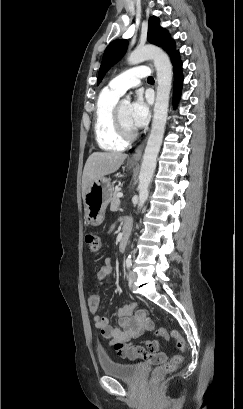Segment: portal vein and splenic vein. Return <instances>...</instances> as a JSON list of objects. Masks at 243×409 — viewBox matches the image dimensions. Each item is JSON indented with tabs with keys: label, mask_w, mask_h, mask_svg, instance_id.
<instances>
[{
	"label": "portal vein and splenic vein",
	"mask_w": 243,
	"mask_h": 409,
	"mask_svg": "<svg viewBox=\"0 0 243 409\" xmlns=\"http://www.w3.org/2000/svg\"><path fill=\"white\" fill-rule=\"evenodd\" d=\"M118 197L119 198L123 197V193H118Z\"/></svg>",
	"instance_id": "obj_1"
}]
</instances>
